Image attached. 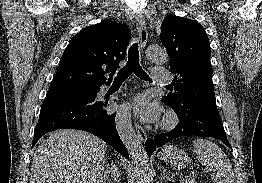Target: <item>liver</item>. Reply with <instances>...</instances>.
Instances as JSON below:
<instances>
[{
	"label": "liver",
	"mask_w": 262,
	"mask_h": 183,
	"mask_svg": "<svg viewBox=\"0 0 262 183\" xmlns=\"http://www.w3.org/2000/svg\"><path fill=\"white\" fill-rule=\"evenodd\" d=\"M106 150L90 133L56 130L36 149L29 183H101Z\"/></svg>",
	"instance_id": "6515ba94"
}]
</instances>
